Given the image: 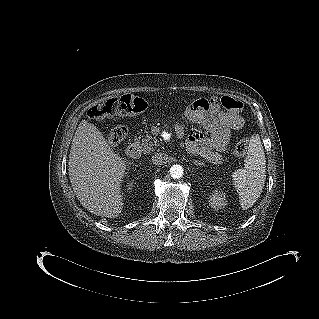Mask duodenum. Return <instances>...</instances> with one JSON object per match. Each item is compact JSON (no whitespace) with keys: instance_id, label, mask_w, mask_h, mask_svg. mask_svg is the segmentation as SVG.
<instances>
[{"instance_id":"obj_1","label":"duodenum","mask_w":319,"mask_h":319,"mask_svg":"<svg viewBox=\"0 0 319 319\" xmlns=\"http://www.w3.org/2000/svg\"><path fill=\"white\" fill-rule=\"evenodd\" d=\"M126 155L131 159H137L141 155L139 144L131 143L126 150Z\"/></svg>"}]
</instances>
